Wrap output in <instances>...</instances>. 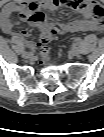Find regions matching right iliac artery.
I'll list each match as a JSON object with an SVG mask.
<instances>
[{
  "mask_svg": "<svg viewBox=\"0 0 104 137\" xmlns=\"http://www.w3.org/2000/svg\"><path fill=\"white\" fill-rule=\"evenodd\" d=\"M22 50H26L28 52H31V49H29L28 47H22Z\"/></svg>",
  "mask_w": 104,
  "mask_h": 137,
  "instance_id": "1",
  "label": "right iliac artery"
}]
</instances>
